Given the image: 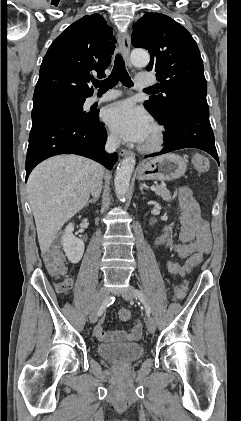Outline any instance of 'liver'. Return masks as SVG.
<instances>
[{
	"label": "liver",
	"instance_id": "liver-1",
	"mask_svg": "<svg viewBox=\"0 0 241 421\" xmlns=\"http://www.w3.org/2000/svg\"><path fill=\"white\" fill-rule=\"evenodd\" d=\"M98 166L81 156L59 155L31 172L27 190L42 253L49 250L62 226L87 204Z\"/></svg>",
	"mask_w": 241,
	"mask_h": 421
}]
</instances>
